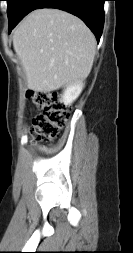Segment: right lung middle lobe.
<instances>
[{
  "instance_id": "dd1d6c3e",
  "label": "right lung middle lobe",
  "mask_w": 133,
  "mask_h": 253,
  "mask_svg": "<svg viewBox=\"0 0 133 253\" xmlns=\"http://www.w3.org/2000/svg\"><path fill=\"white\" fill-rule=\"evenodd\" d=\"M5 1H7V13L10 32L18 21L21 5L25 0H5Z\"/></svg>"
}]
</instances>
